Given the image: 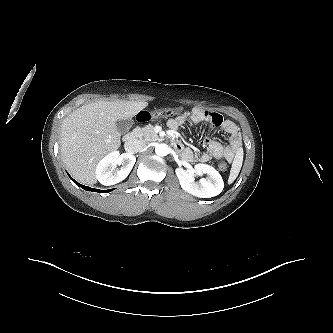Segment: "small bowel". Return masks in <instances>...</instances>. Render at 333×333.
<instances>
[{
  "label": "small bowel",
  "instance_id": "small-bowel-1",
  "mask_svg": "<svg viewBox=\"0 0 333 333\" xmlns=\"http://www.w3.org/2000/svg\"><path fill=\"white\" fill-rule=\"evenodd\" d=\"M187 120L192 123L205 122L211 129L219 128L229 135L228 144L206 137L201 143L200 147L203 149L196 156L193 150L190 148H184L179 142L176 148L181 151L182 156L187 160H192L195 157L201 162H207L213 158H227L233 160L235 154L241 147V134L238 126L230 119L224 118L219 113L204 110L199 108H193L189 111L177 115L174 118L168 120L169 128L176 130L182 126Z\"/></svg>",
  "mask_w": 333,
  "mask_h": 333
}]
</instances>
